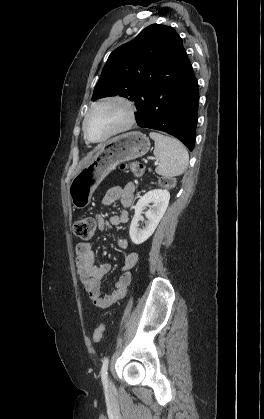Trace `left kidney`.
I'll list each match as a JSON object with an SVG mask.
<instances>
[{
	"label": "left kidney",
	"instance_id": "5707ae66",
	"mask_svg": "<svg viewBox=\"0 0 264 419\" xmlns=\"http://www.w3.org/2000/svg\"><path fill=\"white\" fill-rule=\"evenodd\" d=\"M170 200V193L165 189L150 190L142 196L136 206L135 214L130 225V238L134 244H141L145 242L155 231L160 220L166 212ZM150 203H153L151 206ZM149 206L145 213L147 222L143 229L139 228V219L143 210Z\"/></svg>",
	"mask_w": 264,
	"mask_h": 419
}]
</instances>
